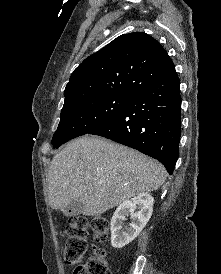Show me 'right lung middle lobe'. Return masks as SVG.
Returning <instances> with one entry per match:
<instances>
[{
    "instance_id": "right-lung-middle-lobe-1",
    "label": "right lung middle lobe",
    "mask_w": 221,
    "mask_h": 274,
    "mask_svg": "<svg viewBox=\"0 0 221 274\" xmlns=\"http://www.w3.org/2000/svg\"><path fill=\"white\" fill-rule=\"evenodd\" d=\"M131 98L127 95H102L64 103L52 139L53 146L58 148L73 138L89 134L109 121Z\"/></svg>"
}]
</instances>
